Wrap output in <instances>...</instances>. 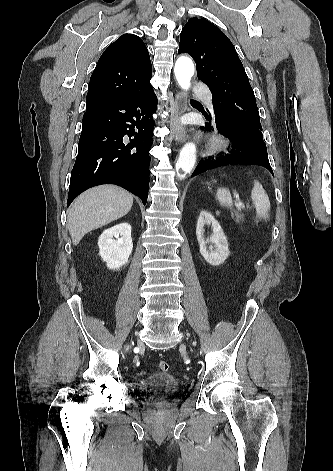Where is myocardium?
Instances as JSON below:
<instances>
[{"mask_svg":"<svg viewBox=\"0 0 333 471\" xmlns=\"http://www.w3.org/2000/svg\"><path fill=\"white\" fill-rule=\"evenodd\" d=\"M225 146V141L220 137H215L210 141L209 148L211 151L221 150Z\"/></svg>","mask_w":333,"mask_h":471,"instance_id":"myocardium-1","label":"myocardium"}]
</instances>
